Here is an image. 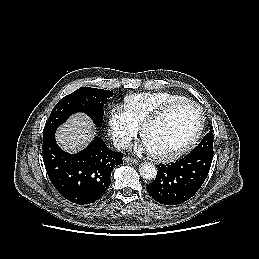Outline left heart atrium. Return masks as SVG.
<instances>
[{
  "label": "left heart atrium",
  "mask_w": 259,
  "mask_h": 259,
  "mask_svg": "<svg viewBox=\"0 0 259 259\" xmlns=\"http://www.w3.org/2000/svg\"><path fill=\"white\" fill-rule=\"evenodd\" d=\"M136 150L138 152L152 153V150H151L150 146L148 145V143L144 139L142 140V142L140 144L137 145Z\"/></svg>",
  "instance_id": "39dd6f15"
}]
</instances>
